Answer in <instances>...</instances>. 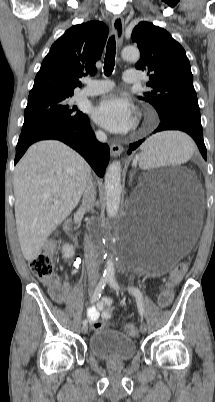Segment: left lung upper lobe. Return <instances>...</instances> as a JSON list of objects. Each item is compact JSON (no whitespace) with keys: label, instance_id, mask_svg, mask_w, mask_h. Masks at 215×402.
Segmentation results:
<instances>
[{"label":"left lung upper lobe","instance_id":"5c2ea615","mask_svg":"<svg viewBox=\"0 0 215 402\" xmlns=\"http://www.w3.org/2000/svg\"><path fill=\"white\" fill-rule=\"evenodd\" d=\"M140 50L136 68L150 74L140 99L152 104L159 117L177 114L200 121L190 63L183 47L163 28L140 22L132 32Z\"/></svg>","mask_w":215,"mask_h":402}]
</instances>
